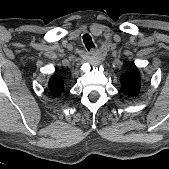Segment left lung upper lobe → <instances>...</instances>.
Masks as SVG:
<instances>
[{
	"label": "left lung upper lobe",
	"instance_id": "5c2ea615",
	"mask_svg": "<svg viewBox=\"0 0 169 169\" xmlns=\"http://www.w3.org/2000/svg\"><path fill=\"white\" fill-rule=\"evenodd\" d=\"M121 92L128 96H137L140 90V72L136 66L130 65L120 78Z\"/></svg>",
	"mask_w": 169,
	"mask_h": 169
}]
</instances>
